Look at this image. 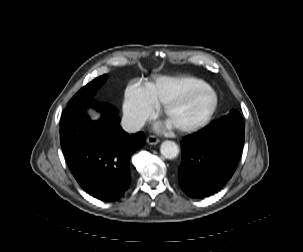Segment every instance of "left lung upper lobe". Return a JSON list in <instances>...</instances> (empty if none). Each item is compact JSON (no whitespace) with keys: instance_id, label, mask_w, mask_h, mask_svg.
I'll return each mask as SVG.
<instances>
[{"instance_id":"1","label":"left lung upper lobe","mask_w":303,"mask_h":252,"mask_svg":"<svg viewBox=\"0 0 303 252\" xmlns=\"http://www.w3.org/2000/svg\"><path fill=\"white\" fill-rule=\"evenodd\" d=\"M244 130V122L241 114L236 110H231L226 116L221 117L218 121H212L211 124L205 127L204 131L215 130Z\"/></svg>"}]
</instances>
